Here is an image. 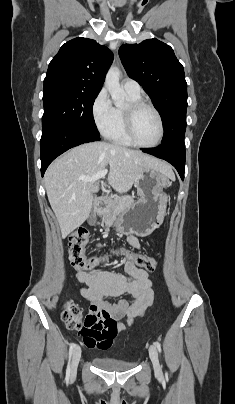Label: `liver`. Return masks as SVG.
I'll list each match as a JSON object with an SVG mask.
<instances>
[{"instance_id": "1", "label": "liver", "mask_w": 235, "mask_h": 404, "mask_svg": "<svg viewBox=\"0 0 235 404\" xmlns=\"http://www.w3.org/2000/svg\"><path fill=\"white\" fill-rule=\"evenodd\" d=\"M109 166L108 182L119 193L127 192L139 174L154 168L174 178L172 168L140 151L126 149L106 142H92L70 149L48 167L44 184L49 203L58 220L61 234L68 236L88 218L93 193L99 189L92 177Z\"/></svg>"}]
</instances>
